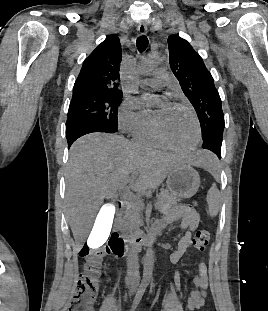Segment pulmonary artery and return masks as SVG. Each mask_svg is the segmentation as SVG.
Here are the masks:
<instances>
[{
    "instance_id": "e3ab8cb5",
    "label": "pulmonary artery",
    "mask_w": 268,
    "mask_h": 311,
    "mask_svg": "<svg viewBox=\"0 0 268 311\" xmlns=\"http://www.w3.org/2000/svg\"><path fill=\"white\" fill-rule=\"evenodd\" d=\"M171 76L168 72L157 70L152 74L151 78L143 80V84L148 87L158 88L169 83Z\"/></svg>"
}]
</instances>
